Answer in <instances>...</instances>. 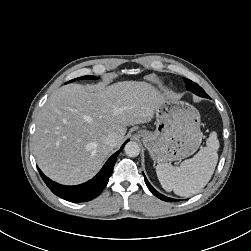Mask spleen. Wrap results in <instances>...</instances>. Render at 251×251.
I'll use <instances>...</instances> for the list:
<instances>
[{
	"label": "spleen",
	"mask_w": 251,
	"mask_h": 251,
	"mask_svg": "<svg viewBox=\"0 0 251 251\" xmlns=\"http://www.w3.org/2000/svg\"><path fill=\"white\" fill-rule=\"evenodd\" d=\"M206 144V147L183 161L178 168L168 163L156 166L157 177L164 190H173L176 195L189 197L206 186L218 161L217 151L220 145L216 132L210 133Z\"/></svg>",
	"instance_id": "1"
}]
</instances>
